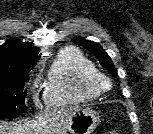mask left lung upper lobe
Masks as SVG:
<instances>
[{"instance_id":"5c2ea615","label":"left lung upper lobe","mask_w":153,"mask_h":134,"mask_svg":"<svg viewBox=\"0 0 153 134\" xmlns=\"http://www.w3.org/2000/svg\"><path fill=\"white\" fill-rule=\"evenodd\" d=\"M72 42L88 49L92 54H94L97 58H99L100 62L109 70L110 73H112V74L117 73L111 58L102 49V47L99 44H97L93 41H85L82 38L72 39Z\"/></svg>"}]
</instances>
